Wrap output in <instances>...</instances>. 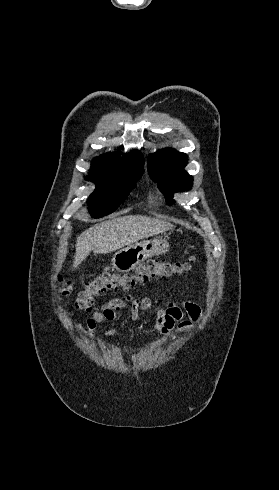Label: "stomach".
Returning a JSON list of instances; mask_svg holds the SVG:
<instances>
[{"label": "stomach", "mask_w": 279, "mask_h": 490, "mask_svg": "<svg viewBox=\"0 0 279 490\" xmlns=\"http://www.w3.org/2000/svg\"><path fill=\"white\" fill-rule=\"evenodd\" d=\"M169 250V244L167 240H144V242H139V244H134V246H129V248H124V250H119L111 258V266L115 268L117 272H131L134 268H137L139 264H144L145 260L148 258H153V256H162L166 254Z\"/></svg>", "instance_id": "0dacf381"}]
</instances>
